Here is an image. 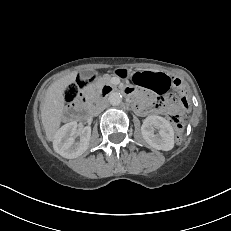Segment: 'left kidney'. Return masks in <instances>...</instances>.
<instances>
[{"instance_id": "obj_1", "label": "left kidney", "mask_w": 231, "mask_h": 231, "mask_svg": "<svg viewBox=\"0 0 231 231\" xmlns=\"http://www.w3.org/2000/svg\"><path fill=\"white\" fill-rule=\"evenodd\" d=\"M159 129V133H154V128ZM144 140L153 148L169 151L174 147V130L170 122L157 115L148 116L141 127Z\"/></svg>"}]
</instances>
